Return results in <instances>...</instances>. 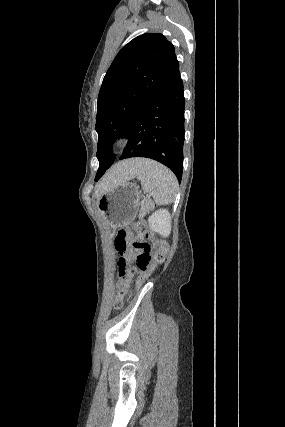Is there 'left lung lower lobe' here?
I'll return each mask as SVG.
<instances>
[{
    "label": "left lung lower lobe",
    "mask_w": 285,
    "mask_h": 427,
    "mask_svg": "<svg viewBox=\"0 0 285 427\" xmlns=\"http://www.w3.org/2000/svg\"><path fill=\"white\" fill-rule=\"evenodd\" d=\"M183 82L179 62L162 81L130 124L129 139L120 159L146 157L169 167L178 181L183 172Z\"/></svg>",
    "instance_id": "0a47b994"
}]
</instances>
